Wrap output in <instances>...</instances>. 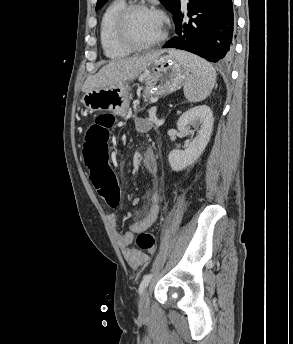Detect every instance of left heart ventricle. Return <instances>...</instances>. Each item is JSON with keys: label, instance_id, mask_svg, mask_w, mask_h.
Here are the masks:
<instances>
[{"label": "left heart ventricle", "instance_id": "obj_1", "mask_svg": "<svg viewBox=\"0 0 293 344\" xmlns=\"http://www.w3.org/2000/svg\"><path fill=\"white\" fill-rule=\"evenodd\" d=\"M163 31L161 19L153 12L136 11L128 21V32L131 38L139 43L157 39Z\"/></svg>", "mask_w": 293, "mask_h": 344}]
</instances>
